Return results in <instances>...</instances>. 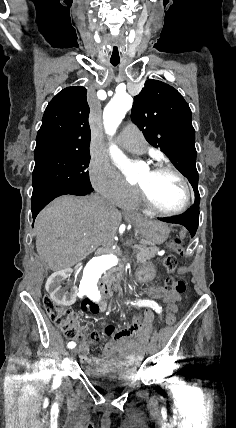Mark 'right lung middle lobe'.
<instances>
[{"mask_svg": "<svg viewBox=\"0 0 236 428\" xmlns=\"http://www.w3.org/2000/svg\"><path fill=\"white\" fill-rule=\"evenodd\" d=\"M32 198L61 189L92 188L86 168L90 162L89 150L34 152Z\"/></svg>", "mask_w": 236, "mask_h": 428, "instance_id": "1", "label": "right lung middle lobe"}]
</instances>
